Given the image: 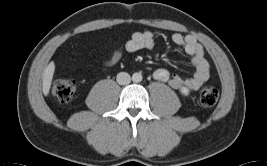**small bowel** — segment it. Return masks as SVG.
<instances>
[{
	"instance_id": "small-bowel-1",
	"label": "small bowel",
	"mask_w": 267,
	"mask_h": 166,
	"mask_svg": "<svg viewBox=\"0 0 267 166\" xmlns=\"http://www.w3.org/2000/svg\"><path fill=\"white\" fill-rule=\"evenodd\" d=\"M175 45L182 47L191 57V63L195 68L193 76L184 78L177 74H171L165 68H159L154 71L153 76L156 80L167 82L171 87L176 89L186 88L190 91L198 90L209 78L210 66L201 45L191 35H182L175 33L172 36ZM155 47L154 35L149 31L135 32L125 43L123 49L118 48L112 54L103 60V66L110 67L115 65L122 58L123 52L133 53L139 50H152Z\"/></svg>"
}]
</instances>
